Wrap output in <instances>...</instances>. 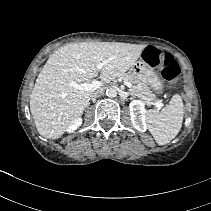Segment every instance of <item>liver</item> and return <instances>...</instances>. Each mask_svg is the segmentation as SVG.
Masks as SVG:
<instances>
[{
	"label": "liver",
	"instance_id": "1",
	"mask_svg": "<svg viewBox=\"0 0 211 211\" xmlns=\"http://www.w3.org/2000/svg\"><path fill=\"white\" fill-rule=\"evenodd\" d=\"M145 48L121 42H81L56 50L31 93L30 111L39 134L58 139L83 114L96 89L80 90L70 85L72 81L89 83L100 72L102 84L109 83L131 68ZM101 63L104 65L98 69Z\"/></svg>",
	"mask_w": 211,
	"mask_h": 211
}]
</instances>
